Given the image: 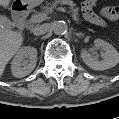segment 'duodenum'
<instances>
[{
    "instance_id": "obj_1",
    "label": "duodenum",
    "mask_w": 119,
    "mask_h": 119,
    "mask_svg": "<svg viewBox=\"0 0 119 119\" xmlns=\"http://www.w3.org/2000/svg\"><path fill=\"white\" fill-rule=\"evenodd\" d=\"M27 14H28V8L24 4L19 3L16 5L14 10V17L20 27L24 26L25 18Z\"/></svg>"
}]
</instances>
